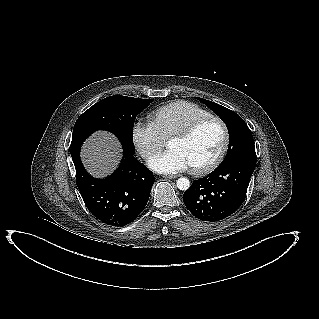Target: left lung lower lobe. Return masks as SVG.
<instances>
[{
    "mask_svg": "<svg viewBox=\"0 0 319 319\" xmlns=\"http://www.w3.org/2000/svg\"><path fill=\"white\" fill-rule=\"evenodd\" d=\"M255 162L234 160L195 180L183 194L187 209L203 221H219L234 214L245 200Z\"/></svg>",
    "mask_w": 319,
    "mask_h": 319,
    "instance_id": "0a47b994",
    "label": "left lung lower lobe"
}]
</instances>
